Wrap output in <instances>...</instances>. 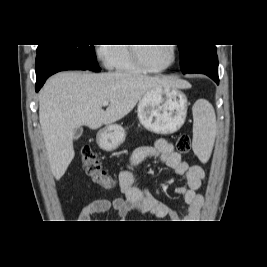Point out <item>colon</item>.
<instances>
[{"label": "colon", "instance_id": "colon-1", "mask_svg": "<svg viewBox=\"0 0 267 267\" xmlns=\"http://www.w3.org/2000/svg\"><path fill=\"white\" fill-rule=\"evenodd\" d=\"M177 150L181 153H188L191 149V139L187 134H181L176 141ZM81 162L85 173L97 184L105 188H112L114 181L102 169L95 153L90 148H83L81 151Z\"/></svg>", "mask_w": 267, "mask_h": 267}]
</instances>
